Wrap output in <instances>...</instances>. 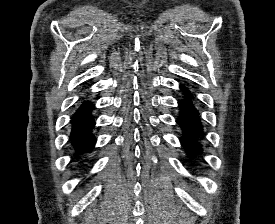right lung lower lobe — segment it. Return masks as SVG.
<instances>
[{
	"instance_id": "right-lung-lower-lobe-1",
	"label": "right lung lower lobe",
	"mask_w": 275,
	"mask_h": 224,
	"mask_svg": "<svg viewBox=\"0 0 275 224\" xmlns=\"http://www.w3.org/2000/svg\"><path fill=\"white\" fill-rule=\"evenodd\" d=\"M93 109L94 105L92 103L84 101L71 120V147L74 151L75 160L80 163L83 155L90 152L96 143V138L92 134L95 125L94 118L91 115Z\"/></svg>"
}]
</instances>
